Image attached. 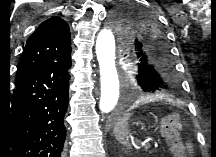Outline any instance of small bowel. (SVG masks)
<instances>
[{
	"label": "small bowel",
	"mask_w": 216,
	"mask_h": 157,
	"mask_svg": "<svg viewBox=\"0 0 216 157\" xmlns=\"http://www.w3.org/2000/svg\"><path fill=\"white\" fill-rule=\"evenodd\" d=\"M186 150H187L188 154L192 153L193 148H192L191 142H189V141L186 142Z\"/></svg>",
	"instance_id": "c3829d8e"
}]
</instances>
